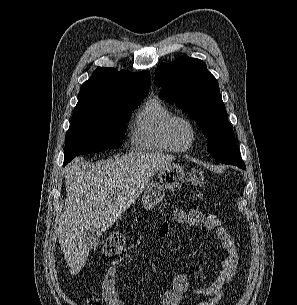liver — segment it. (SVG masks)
Returning a JSON list of instances; mask_svg holds the SVG:
<instances>
[{"label":"liver","instance_id":"6515ba94","mask_svg":"<svg viewBox=\"0 0 297 305\" xmlns=\"http://www.w3.org/2000/svg\"><path fill=\"white\" fill-rule=\"evenodd\" d=\"M173 160L172 155L131 152L102 161L90 170L82 167L80 158L66 167L67 195L58 236L71 275L80 272L89 255L84 231L102 234L108 230L137 200L156 172Z\"/></svg>","mask_w":297,"mask_h":305}]
</instances>
